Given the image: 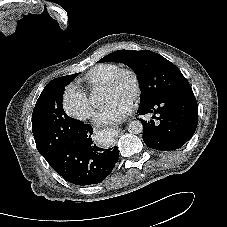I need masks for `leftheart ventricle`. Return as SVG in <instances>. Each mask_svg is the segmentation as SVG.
<instances>
[{
  "mask_svg": "<svg viewBox=\"0 0 227 227\" xmlns=\"http://www.w3.org/2000/svg\"><path fill=\"white\" fill-rule=\"evenodd\" d=\"M102 95L106 103L114 99L130 100L132 95V83L129 78L124 77L115 87L103 88Z\"/></svg>",
  "mask_w": 227,
  "mask_h": 227,
  "instance_id": "obj_1",
  "label": "left heart ventricle"
}]
</instances>
